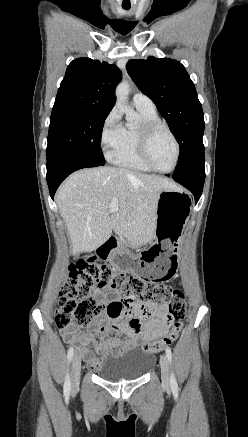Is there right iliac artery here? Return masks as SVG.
<instances>
[{
    "instance_id": "1",
    "label": "right iliac artery",
    "mask_w": 248,
    "mask_h": 437,
    "mask_svg": "<svg viewBox=\"0 0 248 437\" xmlns=\"http://www.w3.org/2000/svg\"><path fill=\"white\" fill-rule=\"evenodd\" d=\"M73 354H74V349H73V347H71L69 349L68 355H67L68 363H70V361L73 357ZM70 391H71V381H70L69 374H67L65 377V382H64V394L69 395Z\"/></svg>"
}]
</instances>
